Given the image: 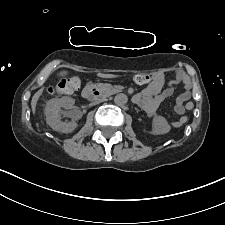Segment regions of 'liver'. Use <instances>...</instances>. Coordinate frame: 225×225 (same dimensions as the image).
Wrapping results in <instances>:
<instances>
[{
	"instance_id": "obj_1",
	"label": "liver",
	"mask_w": 225,
	"mask_h": 225,
	"mask_svg": "<svg viewBox=\"0 0 225 225\" xmlns=\"http://www.w3.org/2000/svg\"><path fill=\"white\" fill-rule=\"evenodd\" d=\"M98 76L102 77V78H114L115 77L114 75H111V74H98ZM43 91H44V87H42L40 90H38L32 97L31 108H32L33 114H35V112H36V105H37V102H38L40 96L43 94Z\"/></svg>"
}]
</instances>
